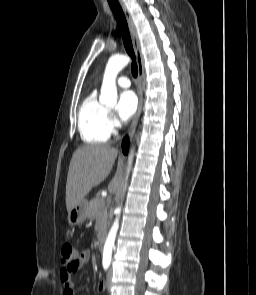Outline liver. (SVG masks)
Masks as SVG:
<instances>
[{"instance_id": "liver-1", "label": "liver", "mask_w": 256, "mask_h": 295, "mask_svg": "<svg viewBox=\"0 0 256 295\" xmlns=\"http://www.w3.org/2000/svg\"><path fill=\"white\" fill-rule=\"evenodd\" d=\"M118 150L109 145H87L78 148L70 161L66 183V208L69 212L83 201L90 190L109 175ZM120 178V162L116 175L108 185L115 192Z\"/></svg>"}]
</instances>
